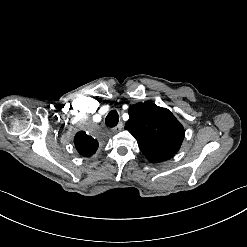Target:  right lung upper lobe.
<instances>
[{"instance_id": "1", "label": "right lung upper lobe", "mask_w": 247, "mask_h": 247, "mask_svg": "<svg viewBox=\"0 0 247 247\" xmlns=\"http://www.w3.org/2000/svg\"><path fill=\"white\" fill-rule=\"evenodd\" d=\"M74 142L78 152L86 157L92 156L98 149V141L84 131L76 134Z\"/></svg>"}]
</instances>
